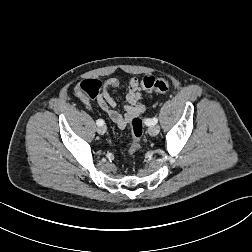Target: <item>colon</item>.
<instances>
[{
    "label": "colon",
    "mask_w": 252,
    "mask_h": 252,
    "mask_svg": "<svg viewBox=\"0 0 252 252\" xmlns=\"http://www.w3.org/2000/svg\"><path fill=\"white\" fill-rule=\"evenodd\" d=\"M142 89L149 91L165 92L169 88V82L162 77L147 76L139 81ZM101 82L97 79H86L81 82L80 89L87 98H95L101 90ZM133 141L127 150L128 155H133L139 148L144 133L142 120L135 117L131 120Z\"/></svg>",
    "instance_id": "obj_1"
}]
</instances>
